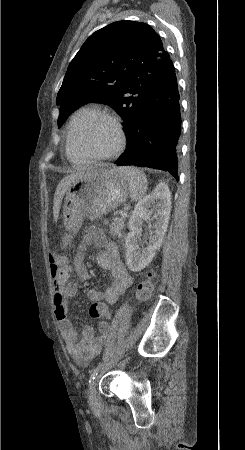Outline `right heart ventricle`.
Segmentation results:
<instances>
[{
	"mask_svg": "<svg viewBox=\"0 0 245 450\" xmlns=\"http://www.w3.org/2000/svg\"><path fill=\"white\" fill-rule=\"evenodd\" d=\"M97 111V109L93 108V107H83L81 109H79L75 115L73 116V118L75 116L80 117V118H84L87 115L91 114L92 112ZM66 154L67 157L74 161V162H83L86 159H84L83 157H81L78 153H76L70 145V141H69V136L67 134V140H66Z\"/></svg>",
	"mask_w": 245,
	"mask_h": 450,
	"instance_id": "e07e8e85",
	"label": "right heart ventricle"
}]
</instances>
